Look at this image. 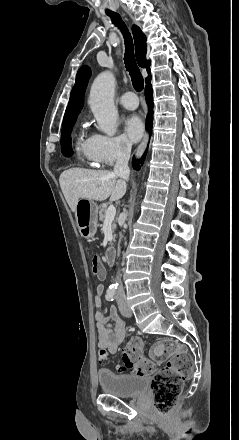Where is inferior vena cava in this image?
Listing matches in <instances>:
<instances>
[{"instance_id":"602c4592","label":"inferior vena cava","mask_w":239,"mask_h":440,"mask_svg":"<svg viewBox=\"0 0 239 440\" xmlns=\"http://www.w3.org/2000/svg\"><path fill=\"white\" fill-rule=\"evenodd\" d=\"M121 146L119 150L116 152V162L114 166V174H117L119 178L122 180H128L130 176V168L128 166L132 144L127 140V138H123L120 142ZM117 282L119 284L116 290V299L118 307H131V304L126 302L127 296L124 294V288L122 286L121 278L118 276Z\"/></svg>"}]
</instances>
